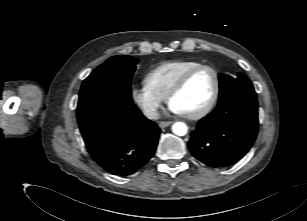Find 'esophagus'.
<instances>
[{
	"label": "esophagus",
	"instance_id": "esophagus-1",
	"mask_svg": "<svg viewBox=\"0 0 307 221\" xmlns=\"http://www.w3.org/2000/svg\"><path fill=\"white\" fill-rule=\"evenodd\" d=\"M172 123H173V121H161V122H159V127L165 128V127L171 125Z\"/></svg>",
	"mask_w": 307,
	"mask_h": 221
}]
</instances>
